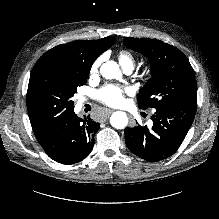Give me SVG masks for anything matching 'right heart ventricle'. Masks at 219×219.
<instances>
[{"label": "right heart ventricle", "mask_w": 219, "mask_h": 219, "mask_svg": "<svg viewBox=\"0 0 219 219\" xmlns=\"http://www.w3.org/2000/svg\"><path fill=\"white\" fill-rule=\"evenodd\" d=\"M118 60L122 68L125 67H134L135 64V58L134 56L127 50H121L118 53Z\"/></svg>", "instance_id": "obj_1"}]
</instances>
